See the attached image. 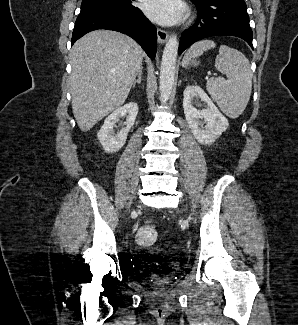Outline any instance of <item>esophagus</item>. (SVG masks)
<instances>
[{
    "label": "esophagus",
    "instance_id": "1",
    "mask_svg": "<svg viewBox=\"0 0 298 325\" xmlns=\"http://www.w3.org/2000/svg\"><path fill=\"white\" fill-rule=\"evenodd\" d=\"M157 38H158V42L160 44H163L166 42L167 38H168V34L167 32H165V30H161V28L157 29Z\"/></svg>",
    "mask_w": 298,
    "mask_h": 325
}]
</instances>
